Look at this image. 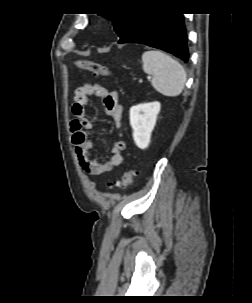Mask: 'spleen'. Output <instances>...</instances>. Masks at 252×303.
Masks as SVG:
<instances>
[{
	"mask_svg": "<svg viewBox=\"0 0 252 303\" xmlns=\"http://www.w3.org/2000/svg\"><path fill=\"white\" fill-rule=\"evenodd\" d=\"M142 61L144 72L153 76L151 83L156 91L168 97L180 95L186 82L180 63L158 50L144 52Z\"/></svg>",
	"mask_w": 252,
	"mask_h": 303,
	"instance_id": "spleen-1",
	"label": "spleen"
}]
</instances>
